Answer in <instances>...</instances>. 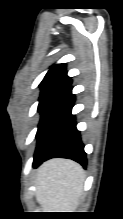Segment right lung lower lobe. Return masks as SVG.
<instances>
[{"instance_id":"98d812e1","label":"right lung lower lobe","mask_w":123,"mask_h":219,"mask_svg":"<svg viewBox=\"0 0 123 219\" xmlns=\"http://www.w3.org/2000/svg\"><path fill=\"white\" fill-rule=\"evenodd\" d=\"M74 100L69 86L47 114L38 137L34 167L54 157L72 159L86 166L84 145L76 129L75 117L71 114Z\"/></svg>"}]
</instances>
